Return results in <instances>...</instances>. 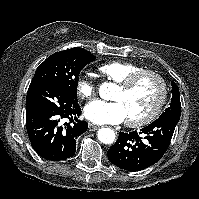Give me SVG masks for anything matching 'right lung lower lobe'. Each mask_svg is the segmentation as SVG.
Masks as SVG:
<instances>
[{
  "instance_id": "1",
  "label": "right lung lower lobe",
  "mask_w": 199,
  "mask_h": 199,
  "mask_svg": "<svg viewBox=\"0 0 199 199\" xmlns=\"http://www.w3.org/2000/svg\"><path fill=\"white\" fill-rule=\"evenodd\" d=\"M76 98L58 85H30L26 97V128L34 150L44 159L62 161L76 151V139L88 129Z\"/></svg>"
}]
</instances>
